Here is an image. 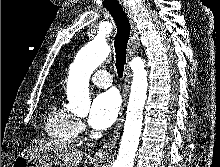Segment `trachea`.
Wrapping results in <instances>:
<instances>
[{
  "label": "trachea",
  "instance_id": "3493384b",
  "mask_svg": "<svg viewBox=\"0 0 220 167\" xmlns=\"http://www.w3.org/2000/svg\"><path fill=\"white\" fill-rule=\"evenodd\" d=\"M106 9L112 15L117 26L114 47L116 53V69L119 77L123 76L126 64L127 43L130 35V22L120 5L108 6Z\"/></svg>",
  "mask_w": 220,
  "mask_h": 167
}]
</instances>
